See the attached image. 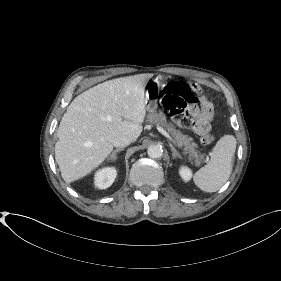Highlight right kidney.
Wrapping results in <instances>:
<instances>
[{"mask_svg": "<svg viewBox=\"0 0 281 281\" xmlns=\"http://www.w3.org/2000/svg\"><path fill=\"white\" fill-rule=\"evenodd\" d=\"M117 175V171L113 167H106L98 170L94 176L95 186L99 189H106L110 187Z\"/></svg>", "mask_w": 281, "mask_h": 281, "instance_id": "ca27d5eb", "label": "right kidney"}]
</instances>
